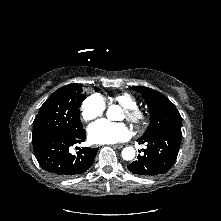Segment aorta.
<instances>
[{
	"mask_svg": "<svg viewBox=\"0 0 221 221\" xmlns=\"http://www.w3.org/2000/svg\"><path fill=\"white\" fill-rule=\"evenodd\" d=\"M122 157L124 160H133L135 157V149L133 147H125L122 150Z\"/></svg>",
	"mask_w": 221,
	"mask_h": 221,
	"instance_id": "1",
	"label": "aorta"
}]
</instances>
